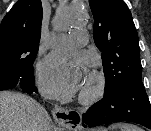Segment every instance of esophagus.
I'll list each match as a JSON object with an SVG mask.
<instances>
[{"instance_id":"obj_1","label":"esophagus","mask_w":151,"mask_h":131,"mask_svg":"<svg viewBox=\"0 0 151 131\" xmlns=\"http://www.w3.org/2000/svg\"><path fill=\"white\" fill-rule=\"evenodd\" d=\"M52 115L58 123L75 131L79 128L82 120L78 111L67 110L61 107H55L52 110Z\"/></svg>"}]
</instances>
